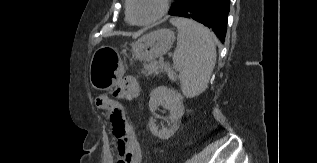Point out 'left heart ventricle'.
<instances>
[{
    "mask_svg": "<svg viewBox=\"0 0 317 163\" xmlns=\"http://www.w3.org/2000/svg\"><path fill=\"white\" fill-rule=\"evenodd\" d=\"M132 15L138 21L154 17L160 10L161 0H132Z\"/></svg>",
    "mask_w": 317,
    "mask_h": 163,
    "instance_id": "1",
    "label": "left heart ventricle"
}]
</instances>
